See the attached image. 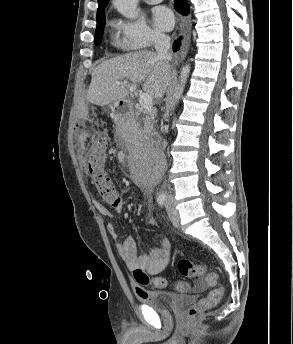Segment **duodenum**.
Here are the masks:
<instances>
[{"instance_id":"duodenum-1","label":"duodenum","mask_w":293,"mask_h":344,"mask_svg":"<svg viewBox=\"0 0 293 344\" xmlns=\"http://www.w3.org/2000/svg\"><path fill=\"white\" fill-rule=\"evenodd\" d=\"M121 109H122L121 107H118V108H117L118 111H121Z\"/></svg>"}]
</instances>
